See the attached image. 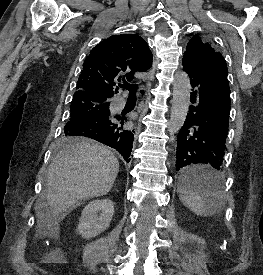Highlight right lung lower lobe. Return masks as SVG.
I'll use <instances>...</instances> for the list:
<instances>
[{"label": "right lung lower lobe", "mask_w": 263, "mask_h": 275, "mask_svg": "<svg viewBox=\"0 0 263 275\" xmlns=\"http://www.w3.org/2000/svg\"><path fill=\"white\" fill-rule=\"evenodd\" d=\"M127 121L129 118L124 115L88 117L64 128V133L69 136H84L97 140L116 149L126 162H129L134 131L123 128Z\"/></svg>", "instance_id": "obj_1"}]
</instances>
